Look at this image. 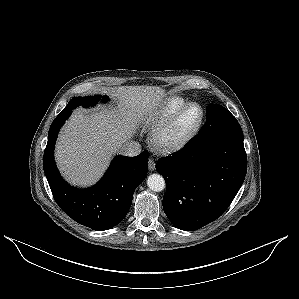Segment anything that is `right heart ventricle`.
Masks as SVG:
<instances>
[{
	"mask_svg": "<svg viewBox=\"0 0 299 299\" xmlns=\"http://www.w3.org/2000/svg\"><path fill=\"white\" fill-rule=\"evenodd\" d=\"M188 103L187 100L180 96H171L167 98L158 111L154 114L153 124L158 125L168 117H170L175 111H177L180 107Z\"/></svg>",
	"mask_w": 299,
	"mask_h": 299,
	"instance_id": "1",
	"label": "right heart ventricle"
}]
</instances>
